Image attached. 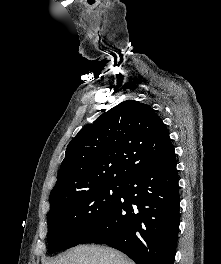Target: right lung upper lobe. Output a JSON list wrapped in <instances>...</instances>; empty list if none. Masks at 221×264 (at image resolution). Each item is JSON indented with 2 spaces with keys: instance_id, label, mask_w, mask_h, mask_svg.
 <instances>
[{
  "instance_id": "cb5924a9",
  "label": "right lung upper lobe",
  "mask_w": 221,
  "mask_h": 264,
  "mask_svg": "<svg viewBox=\"0 0 221 264\" xmlns=\"http://www.w3.org/2000/svg\"><path fill=\"white\" fill-rule=\"evenodd\" d=\"M174 154L168 130L155 111L134 100L124 101L69 143L50 193V210L72 194L124 182Z\"/></svg>"
}]
</instances>
